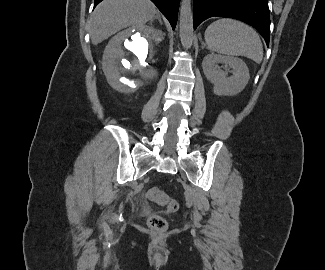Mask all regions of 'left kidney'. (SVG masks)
I'll return each instance as SVG.
<instances>
[{
	"mask_svg": "<svg viewBox=\"0 0 325 270\" xmlns=\"http://www.w3.org/2000/svg\"><path fill=\"white\" fill-rule=\"evenodd\" d=\"M218 64L229 66L232 76L222 74ZM202 68L207 79L214 85L213 92L218 96L237 95L250 79L247 65L236 57L208 54L203 59Z\"/></svg>",
	"mask_w": 325,
	"mask_h": 270,
	"instance_id": "left-kidney-1",
	"label": "left kidney"
}]
</instances>
